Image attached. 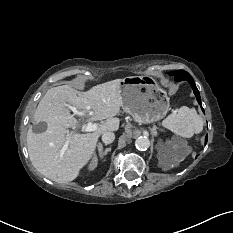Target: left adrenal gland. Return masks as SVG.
I'll list each match as a JSON object with an SVG mask.
<instances>
[{"label": "left adrenal gland", "instance_id": "1", "mask_svg": "<svg viewBox=\"0 0 233 233\" xmlns=\"http://www.w3.org/2000/svg\"><path fill=\"white\" fill-rule=\"evenodd\" d=\"M151 131H152V134L155 136L156 135V129L152 128Z\"/></svg>", "mask_w": 233, "mask_h": 233}]
</instances>
